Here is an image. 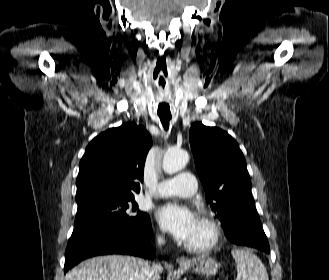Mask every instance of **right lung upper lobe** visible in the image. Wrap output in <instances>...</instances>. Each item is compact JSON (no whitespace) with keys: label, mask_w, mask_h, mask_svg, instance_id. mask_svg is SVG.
Returning <instances> with one entry per match:
<instances>
[{"label":"right lung upper lobe","mask_w":329,"mask_h":280,"mask_svg":"<svg viewBox=\"0 0 329 280\" xmlns=\"http://www.w3.org/2000/svg\"><path fill=\"white\" fill-rule=\"evenodd\" d=\"M151 146L149 133L133 122L96 136L80 161L76 199L93 195L134 197L140 192Z\"/></svg>","instance_id":"obj_1"}]
</instances>
